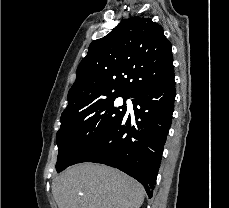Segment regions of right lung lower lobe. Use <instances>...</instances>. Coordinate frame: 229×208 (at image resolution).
Instances as JSON below:
<instances>
[{
  "label": "right lung lower lobe",
  "mask_w": 229,
  "mask_h": 208,
  "mask_svg": "<svg viewBox=\"0 0 229 208\" xmlns=\"http://www.w3.org/2000/svg\"><path fill=\"white\" fill-rule=\"evenodd\" d=\"M174 71L144 87L132 100L134 117L125 114L73 160L102 163L138 180L149 196L155 190L158 168L171 125L175 99Z\"/></svg>",
  "instance_id": "98d812e1"
}]
</instances>
